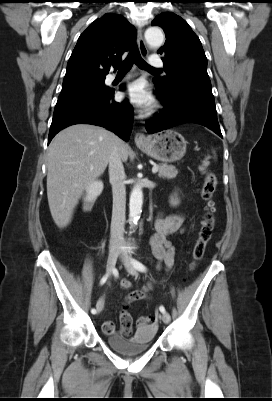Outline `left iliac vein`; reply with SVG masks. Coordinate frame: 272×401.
I'll use <instances>...</instances> for the list:
<instances>
[{
  "instance_id": "1",
  "label": "left iliac vein",
  "mask_w": 272,
  "mask_h": 401,
  "mask_svg": "<svg viewBox=\"0 0 272 401\" xmlns=\"http://www.w3.org/2000/svg\"><path fill=\"white\" fill-rule=\"evenodd\" d=\"M121 259L124 263L126 270L133 276L137 275L135 267L133 266L130 258L125 253L121 254ZM161 319L164 323L168 324L170 322V315L166 312L162 313Z\"/></svg>"
}]
</instances>
